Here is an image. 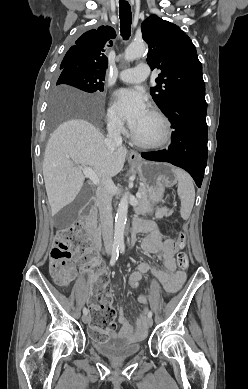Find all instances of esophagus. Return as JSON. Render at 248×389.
Wrapping results in <instances>:
<instances>
[{
    "mask_svg": "<svg viewBox=\"0 0 248 389\" xmlns=\"http://www.w3.org/2000/svg\"><path fill=\"white\" fill-rule=\"evenodd\" d=\"M129 159L132 161H138L140 160V155L135 150H130Z\"/></svg>",
    "mask_w": 248,
    "mask_h": 389,
    "instance_id": "esophagus-1",
    "label": "esophagus"
}]
</instances>
